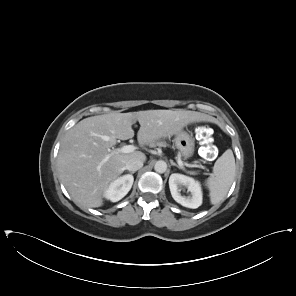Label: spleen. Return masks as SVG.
Listing matches in <instances>:
<instances>
[{
    "label": "spleen",
    "mask_w": 296,
    "mask_h": 296,
    "mask_svg": "<svg viewBox=\"0 0 296 296\" xmlns=\"http://www.w3.org/2000/svg\"><path fill=\"white\" fill-rule=\"evenodd\" d=\"M235 176V158L231 149H227L215 162L212 175L206 185L210 191V202L220 203L228 193Z\"/></svg>",
    "instance_id": "spleen-1"
}]
</instances>
